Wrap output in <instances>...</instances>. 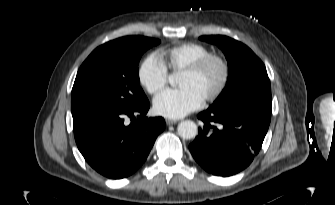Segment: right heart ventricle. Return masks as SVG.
Segmentation results:
<instances>
[{"instance_id": "e07e8e85", "label": "right heart ventricle", "mask_w": 335, "mask_h": 205, "mask_svg": "<svg viewBox=\"0 0 335 205\" xmlns=\"http://www.w3.org/2000/svg\"><path fill=\"white\" fill-rule=\"evenodd\" d=\"M210 53L205 45L186 42L160 51L159 56L167 69L180 72Z\"/></svg>"}]
</instances>
